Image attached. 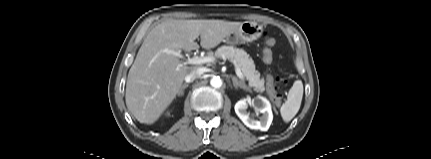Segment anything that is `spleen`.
<instances>
[{
  "label": "spleen",
  "mask_w": 431,
  "mask_h": 159,
  "mask_svg": "<svg viewBox=\"0 0 431 159\" xmlns=\"http://www.w3.org/2000/svg\"><path fill=\"white\" fill-rule=\"evenodd\" d=\"M303 97V83L301 80L294 82L289 90L287 100L280 108L281 117L284 122H290L298 113Z\"/></svg>",
  "instance_id": "obj_1"
}]
</instances>
